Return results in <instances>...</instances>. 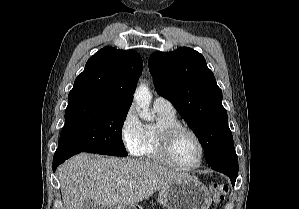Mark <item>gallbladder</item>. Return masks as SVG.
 <instances>
[{"label":"gallbladder","mask_w":299,"mask_h":209,"mask_svg":"<svg viewBox=\"0 0 299 209\" xmlns=\"http://www.w3.org/2000/svg\"><path fill=\"white\" fill-rule=\"evenodd\" d=\"M82 209H100V206L92 199L84 202Z\"/></svg>","instance_id":"obj_1"}]
</instances>
